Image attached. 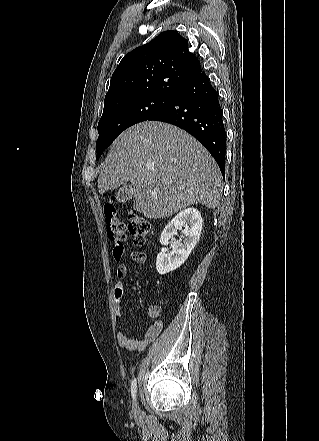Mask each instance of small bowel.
<instances>
[{"mask_svg": "<svg viewBox=\"0 0 319 441\" xmlns=\"http://www.w3.org/2000/svg\"><path fill=\"white\" fill-rule=\"evenodd\" d=\"M132 258L135 262L143 263L146 257L141 252H134ZM127 267L123 264L119 265L116 270L118 281L114 284L112 289V300L114 312L117 321L120 323L122 314V300L124 294L123 279L127 276ZM162 306L160 303H150L148 305V322L144 335L139 339H132L127 336L122 330L117 332V341L119 345L129 351H142L150 343H152L160 335L163 329V321L160 318Z\"/></svg>", "mask_w": 319, "mask_h": 441, "instance_id": "obj_1", "label": "small bowel"}]
</instances>
